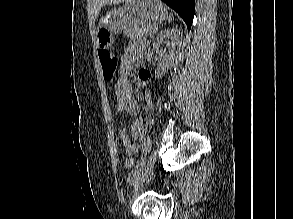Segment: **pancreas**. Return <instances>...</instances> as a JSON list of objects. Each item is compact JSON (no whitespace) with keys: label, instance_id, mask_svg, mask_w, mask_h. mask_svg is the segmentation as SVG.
Returning <instances> with one entry per match:
<instances>
[{"label":"pancreas","instance_id":"cf45deb5","mask_svg":"<svg viewBox=\"0 0 293 219\" xmlns=\"http://www.w3.org/2000/svg\"><path fill=\"white\" fill-rule=\"evenodd\" d=\"M156 29L157 24L154 23L152 24L144 21L129 22L124 29V34L130 38L153 36Z\"/></svg>","mask_w":293,"mask_h":219}]
</instances>
